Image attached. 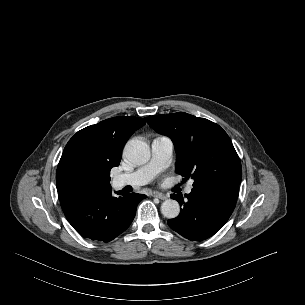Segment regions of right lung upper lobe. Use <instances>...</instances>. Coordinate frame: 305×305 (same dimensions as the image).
I'll list each match as a JSON object with an SVG mask.
<instances>
[{
  "mask_svg": "<svg viewBox=\"0 0 305 305\" xmlns=\"http://www.w3.org/2000/svg\"><path fill=\"white\" fill-rule=\"evenodd\" d=\"M145 123L146 118L119 116L78 131L65 146L57 167L60 202L90 190L111 189V168L119 165L127 139ZM83 162L97 166L101 173L82 176L78 169Z\"/></svg>",
  "mask_w": 305,
  "mask_h": 305,
  "instance_id": "right-lung-upper-lobe-1",
  "label": "right lung upper lobe"
}]
</instances>
